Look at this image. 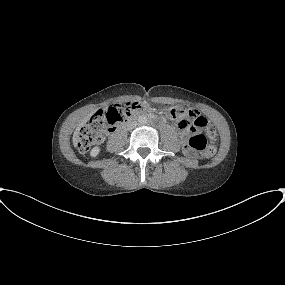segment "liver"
<instances>
[{"label":"liver","instance_id":"6515ba94","mask_svg":"<svg viewBox=\"0 0 285 285\" xmlns=\"http://www.w3.org/2000/svg\"><path fill=\"white\" fill-rule=\"evenodd\" d=\"M93 113V112H92ZM92 113L88 114L82 121L81 123L77 126L76 130L74 131V134H73V144L74 146L76 147L78 142H79V131H80V128L83 127L86 122L89 120L90 116L92 115Z\"/></svg>","mask_w":285,"mask_h":285}]
</instances>
